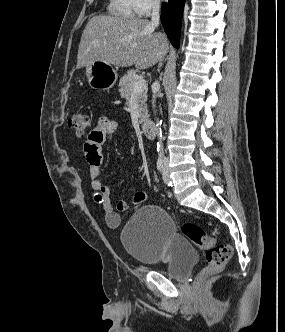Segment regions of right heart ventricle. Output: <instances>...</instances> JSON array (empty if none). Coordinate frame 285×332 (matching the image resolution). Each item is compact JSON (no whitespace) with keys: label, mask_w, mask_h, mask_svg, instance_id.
Returning a JSON list of instances; mask_svg holds the SVG:
<instances>
[{"label":"right heart ventricle","mask_w":285,"mask_h":332,"mask_svg":"<svg viewBox=\"0 0 285 332\" xmlns=\"http://www.w3.org/2000/svg\"><path fill=\"white\" fill-rule=\"evenodd\" d=\"M107 10L109 14L121 18H133L136 14L133 0H109Z\"/></svg>","instance_id":"right-heart-ventricle-1"}]
</instances>
